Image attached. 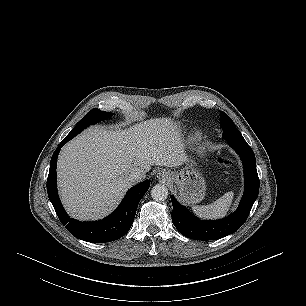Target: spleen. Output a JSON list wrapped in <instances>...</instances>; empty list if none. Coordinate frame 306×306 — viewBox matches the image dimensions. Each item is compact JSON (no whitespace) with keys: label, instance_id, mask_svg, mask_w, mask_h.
Listing matches in <instances>:
<instances>
[{"label":"spleen","instance_id":"1","mask_svg":"<svg viewBox=\"0 0 306 306\" xmlns=\"http://www.w3.org/2000/svg\"><path fill=\"white\" fill-rule=\"evenodd\" d=\"M233 196L232 191L227 192L215 202L209 205L194 206L192 210L200 218L217 219L224 217L231 206Z\"/></svg>","mask_w":306,"mask_h":306}]
</instances>
